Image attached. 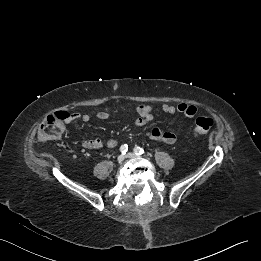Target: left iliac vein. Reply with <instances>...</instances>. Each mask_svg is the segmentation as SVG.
<instances>
[{
    "label": "left iliac vein",
    "mask_w": 261,
    "mask_h": 261,
    "mask_svg": "<svg viewBox=\"0 0 261 261\" xmlns=\"http://www.w3.org/2000/svg\"><path fill=\"white\" fill-rule=\"evenodd\" d=\"M127 157L128 158H138L139 156L137 154H135V153H128Z\"/></svg>",
    "instance_id": "obj_1"
}]
</instances>
